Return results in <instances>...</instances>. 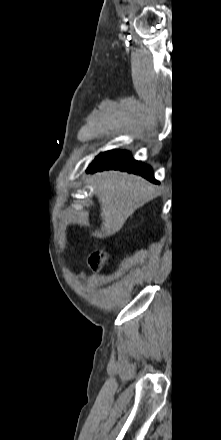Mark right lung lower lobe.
<instances>
[{
    "label": "right lung lower lobe",
    "mask_w": 221,
    "mask_h": 440,
    "mask_svg": "<svg viewBox=\"0 0 221 440\" xmlns=\"http://www.w3.org/2000/svg\"><path fill=\"white\" fill-rule=\"evenodd\" d=\"M120 170L129 173L139 174L149 181L158 183L154 179L151 167L140 161H136L130 153L124 150H111L100 153L87 169L88 172L94 173L102 170Z\"/></svg>",
    "instance_id": "obj_1"
}]
</instances>
